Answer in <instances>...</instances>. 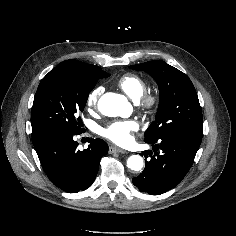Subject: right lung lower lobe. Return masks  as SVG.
<instances>
[{
  "instance_id": "right-lung-lower-lobe-1",
  "label": "right lung lower lobe",
  "mask_w": 236,
  "mask_h": 236,
  "mask_svg": "<svg viewBox=\"0 0 236 236\" xmlns=\"http://www.w3.org/2000/svg\"><path fill=\"white\" fill-rule=\"evenodd\" d=\"M75 134L56 131L32 133L33 145L50 181L68 193L85 190L93 183L100 159L107 154L105 141L91 139L87 149H77Z\"/></svg>"
}]
</instances>
